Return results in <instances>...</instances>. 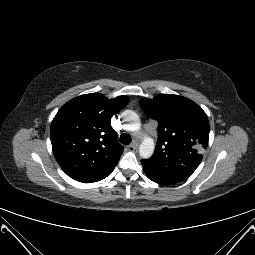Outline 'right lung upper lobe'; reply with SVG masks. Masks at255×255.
<instances>
[{
    "mask_svg": "<svg viewBox=\"0 0 255 255\" xmlns=\"http://www.w3.org/2000/svg\"><path fill=\"white\" fill-rule=\"evenodd\" d=\"M127 103L125 96L108 99L91 93L61 107L52 121L50 135L55 158L68 176L92 183L114 170L123 146L110 122Z\"/></svg>",
    "mask_w": 255,
    "mask_h": 255,
    "instance_id": "obj_1",
    "label": "right lung upper lobe"
}]
</instances>
